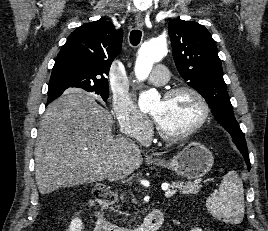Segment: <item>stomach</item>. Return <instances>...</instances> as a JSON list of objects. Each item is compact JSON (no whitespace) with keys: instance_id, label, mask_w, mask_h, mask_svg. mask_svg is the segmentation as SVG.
Instances as JSON below:
<instances>
[{"instance_id":"obj_1","label":"stomach","mask_w":268,"mask_h":231,"mask_svg":"<svg viewBox=\"0 0 268 231\" xmlns=\"http://www.w3.org/2000/svg\"><path fill=\"white\" fill-rule=\"evenodd\" d=\"M214 158L208 148L198 142L185 146L173 159L159 161L156 165L174 171L178 176L188 180L200 179L212 168Z\"/></svg>"}]
</instances>
